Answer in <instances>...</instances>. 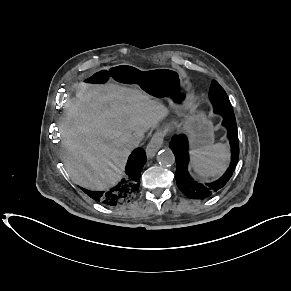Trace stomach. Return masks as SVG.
<instances>
[{"mask_svg":"<svg viewBox=\"0 0 291 291\" xmlns=\"http://www.w3.org/2000/svg\"><path fill=\"white\" fill-rule=\"evenodd\" d=\"M90 78L102 90L110 89L117 82L136 87L153 99L167 100L172 109L184 116L183 127L188 132L194 149L213 143L212 123L203 112L197 111L193 106V93L183 71L169 67L144 70L127 64L114 67L102 65L95 69ZM80 83L87 86L92 82L83 77Z\"/></svg>","mask_w":291,"mask_h":291,"instance_id":"stomach-1","label":"stomach"}]
</instances>
